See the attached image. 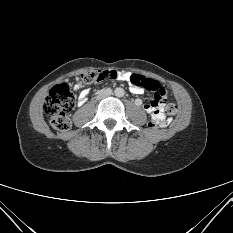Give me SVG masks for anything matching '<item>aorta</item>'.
<instances>
[{"label": "aorta", "mask_w": 233, "mask_h": 233, "mask_svg": "<svg viewBox=\"0 0 233 233\" xmlns=\"http://www.w3.org/2000/svg\"><path fill=\"white\" fill-rule=\"evenodd\" d=\"M114 92L117 97H123L125 94V91L123 88H116Z\"/></svg>", "instance_id": "1"}]
</instances>
